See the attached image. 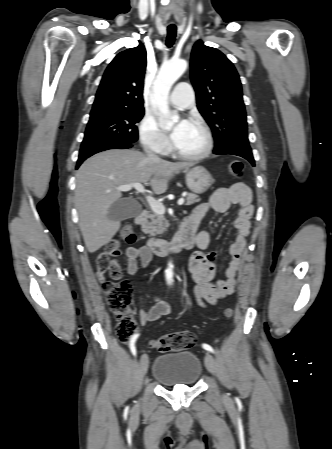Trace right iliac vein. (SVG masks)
<instances>
[{"mask_svg":"<svg viewBox=\"0 0 332 449\" xmlns=\"http://www.w3.org/2000/svg\"><path fill=\"white\" fill-rule=\"evenodd\" d=\"M148 365H149V359L147 354H143L140 358V363H139V370H140V376L143 378L148 370Z\"/></svg>","mask_w":332,"mask_h":449,"instance_id":"63e3f726","label":"right iliac vein"}]
</instances>
